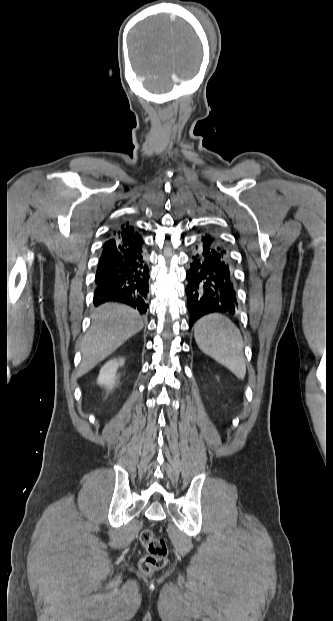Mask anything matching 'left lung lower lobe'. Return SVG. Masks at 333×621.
Segmentation results:
<instances>
[{"label": "left lung lower lobe", "mask_w": 333, "mask_h": 621, "mask_svg": "<svg viewBox=\"0 0 333 621\" xmlns=\"http://www.w3.org/2000/svg\"><path fill=\"white\" fill-rule=\"evenodd\" d=\"M186 276L190 327L209 313H235L238 303L230 256L213 235L206 234L199 240L190 256Z\"/></svg>", "instance_id": "1"}]
</instances>
